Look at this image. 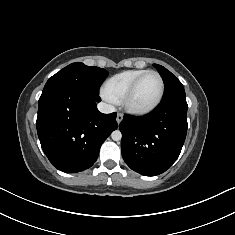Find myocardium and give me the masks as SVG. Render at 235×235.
I'll list each match as a JSON object with an SVG mask.
<instances>
[{"mask_svg": "<svg viewBox=\"0 0 235 235\" xmlns=\"http://www.w3.org/2000/svg\"><path fill=\"white\" fill-rule=\"evenodd\" d=\"M148 74H155L159 81H160V92L159 95L157 97V99L149 106L144 107V108H137L134 107L130 104V99L133 96L138 84L140 83V81ZM164 92H165V83L164 80L162 78V76L160 75L159 72L155 71V70H147L144 73H142L140 76H138L130 85V87L127 89V91L125 92L122 100H121V104L123 106V108L130 114L133 115H145L148 114L150 112H152L154 109H156L158 107V105L161 103L163 96H164Z\"/></svg>", "mask_w": 235, "mask_h": 235, "instance_id": "1", "label": "myocardium"}]
</instances>
